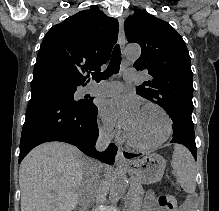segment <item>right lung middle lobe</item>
Segmentation results:
<instances>
[{
  "label": "right lung middle lobe",
  "instance_id": "right-lung-middle-lobe-1",
  "mask_svg": "<svg viewBox=\"0 0 219 211\" xmlns=\"http://www.w3.org/2000/svg\"><path fill=\"white\" fill-rule=\"evenodd\" d=\"M48 87H57V88H59L67 96L71 97V100L76 102V103H86L87 102L85 100H75L74 99V93H75V90H76L75 87L64 86V85H50Z\"/></svg>",
  "mask_w": 219,
  "mask_h": 211
}]
</instances>
